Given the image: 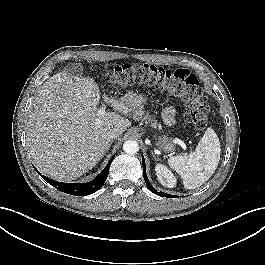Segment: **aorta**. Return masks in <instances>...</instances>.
<instances>
[{"label":"aorta","mask_w":265,"mask_h":265,"mask_svg":"<svg viewBox=\"0 0 265 265\" xmlns=\"http://www.w3.org/2000/svg\"><path fill=\"white\" fill-rule=\"evenodd\" d=\"M123 150L125 153L133 155L139 151V145L134 140H128L123 144Z\"/></svg>","instance_id":"762f6f07"}]
</instances>
